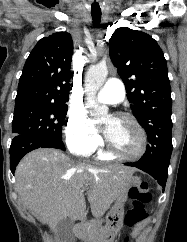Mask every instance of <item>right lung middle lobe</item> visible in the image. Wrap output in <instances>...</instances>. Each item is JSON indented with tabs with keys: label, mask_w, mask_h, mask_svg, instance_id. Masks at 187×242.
<instances>
[{
	"label": "right lung middle lobe",
	"mask_w": 187,
	"mask_h": 242,
	"mask_svg": "<svg viewBox=\"0 0 187 242\" xmlns=\"http://www.w3.org/2000/svg\"><path fill=\"white\" fill-rule=\"evenodd\" d=\"M67 105L30 104L15 107L12 121L14 135H35L62 139V125Z\"/></svg>",
	"instance_id": "right-lung-middle-lobe-1"
}]
</instances>
